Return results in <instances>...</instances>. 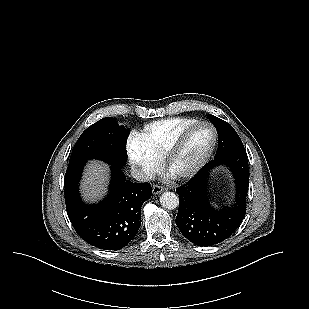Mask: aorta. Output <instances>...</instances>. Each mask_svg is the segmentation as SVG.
I'll list each match as a JSON object with an SVG mask.
<instances>
[{
	"instance_id": "1",
	"label": "aorta",
	"mask_w": 309,
	"mask_h": 309,
	"mask_svg": "<svg viewBox=\"0 0 309 309\" xmlns=\"http://www.w3.org/2000/svg\"><path fill=\"white\" fill-rule=\"evenodd\" d=\"M160 203L164 208L173 210L178 207L179 198L175 193L167 191L160 196Z\"/></svg>"
}]
</instances>
